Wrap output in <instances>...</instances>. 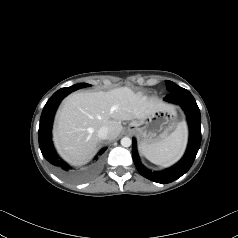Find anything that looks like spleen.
<instances>
[{"label":"spleen","instance_id":"spleen-1","mask_svg":"<svg viewBox=\"0 0 238 238\" xmlns=\"http://www.w3.org/2000/svg\"><path fill=\"white\" fill-rule=\"evenodd\" d=\"M187 139V125L182 121L177 124L175 130L165 139L147 147H140V150L152 163L167 167L182 157L187 145Z\"/></svg>","mask_w":238,"mask_h":238}]
</instances>
